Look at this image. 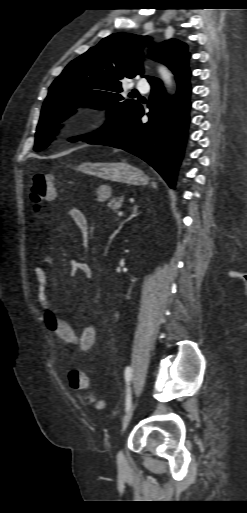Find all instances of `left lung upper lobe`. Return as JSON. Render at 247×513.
I'll use <instances>...</instances> for the list:
<instances>
[{"label":"left lung upper lobe","mask_w":247,"mask_h":513,"mask_svg":"<svg viewBox=\"0 0 247 513\" xmlns=\"http://www.w3.org/2000/svg\"><path fill=\"white\" fill-rule=\"evenodd\" d=\"M149 40L148 36L115 33L70 62L49 88L37 126L34 150L40 151L49 145L51 138L48 133L56 129L58 123L72 114L76 107L108 109L109 120L99 131L71 138V142H88L132 112L139 103L123 97L121 85L126 78L142 74L141 51ZM149 57L174 72L189 59L190 54L185 43L170 39L152 48ZM146 78L151 86L160 81L151 76Z\"/></svg>","instance_id":"obj_1"}]
</instances>
